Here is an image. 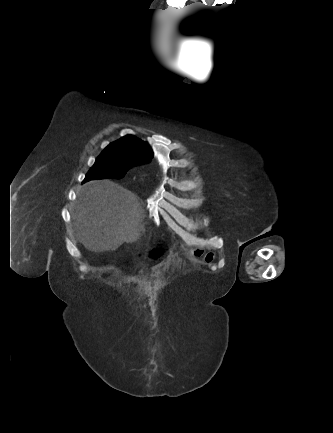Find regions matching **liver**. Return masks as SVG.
<instances>
[{
	"mask_svg": "<svg viewBox=\"0 0 333 433\" xmlns=\"http://www.w3.org/2000/svg\"><path fill=\"white\" fill-rule=\"evenodd\" d=\"M72 222L77 240L94 253L115 251L145 232L137 196L110 180L90 181L80 188Z\"/></svg>",
	"mask_w": 333,
	"mask_h": 433,
	"instance_id": "obj_1",
	"label": "liver"
}]
</instances>
